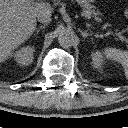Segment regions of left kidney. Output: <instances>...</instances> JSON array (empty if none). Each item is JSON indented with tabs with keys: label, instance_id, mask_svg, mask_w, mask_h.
<instances>
[{
	"label": "left kidney",
	"instance_id": "left-kidney-1",
	"mask_svg": "<svg viewBox=\"0 0 128 128\" xmlns=\"http://www.w3.org/2000/svg\"><path fill=\"white\" fill-rule=\"evenodd\" d=\"M91 59H92L93 67H95L96 69H102L103 59H102V55L99 51L93 52L91 54Z\"/></svg>",
	"mask_w": 128,
	"mask_h": 128
}]
</instances>
